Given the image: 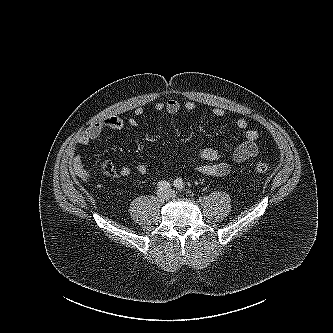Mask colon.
Instances as JSON below:
<instances>
[{"mask_svg": "<svg viewBox=\"0 0 333 333\" xmlns=\"http://www.w3.org/2000/svg\"><path fill=\"white\" fill-rule=\"evenodd\" d=\"M254 169L258 173H267L271 170V165L264 159H256L254 161Z\"/></svg>", "mask_w": 333, "mask_h": 333, "instance_id": "colon-1", "label": "colon"}]
</instances>
